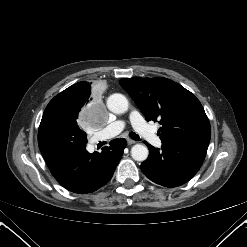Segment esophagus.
<instances>
[{"label": "esophagus", "instance_id": "1", "mask_svg": "<svg viewBox=\"0 0 247 247\" xmlns=\"http://www.w3.org/2000/svg\"><path fill=\"white\" fill-rule=\"evenodd\" d=\"M127 143H128V145H132V144L136 143V141L128 138Z\"/></svg>", "mask_w": 247, "mask_h": 247}]
</instances>
